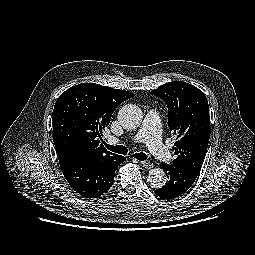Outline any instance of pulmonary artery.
<instances>
[{
    "instance_id": "e3ab8cb5",
    "label": "pulmonary artery",
    "mask_w": 255,
    "mask_h": 255,
    "mask_svg": "<svg viewBox=\"0 0 255 255\" xmlns=\"http://www.w3.org/2000/svg\"><path fill=\"white\" fill-rule=\"evenodd\" d=\"M161 116L156 110L147 112L144 121L138 132L130 139L134 143H145L148 149L159 159L169 161L171 153L169 149L162 143L161 134ZM110 144H118L121 139L116 137H109Z\"/></svg>"
}]
</instances>
